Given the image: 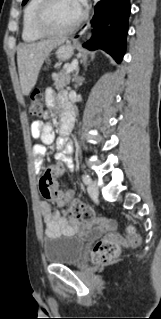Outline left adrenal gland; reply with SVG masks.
I'll return each mask as SVG.
<instances>
[{
    "instance_id": "obj_1",
    "label": "left adrenal gland",
    "mask_w": 161,
    "mask_h": 319,
    "mask_svg": "<svg viewBox=\"0 0 161 319\" xmlns=\"http://www.w3.org/2000/svg\"><path fill=\"white\" fill-rule=\"evenodd\" d=\"M78 71H79V69L77 68L76 72H75V75H74V78H73V82H78V77H77Z\"/></svg>"
}]
</instances>
